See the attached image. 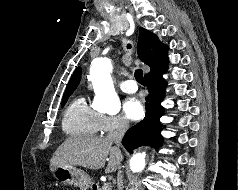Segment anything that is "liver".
<instances>
[{
	"label": "liver",
	"instance_id": "1",
	"mask_svg": "<svg viewBox=\"0 0 238 190\" xmlns=\"http://www.w3.org/2000/svg\"><path fill=\"white\" fill-rule=\"evenodd\" d=\"M108 138L69 137L55 151L50 161V171L61 166H81L91 170L104 167L106 173L116 171L122 161V153Z\"/></svg>",
	"mask_w": 238,
	"mask_h": 190
}]
</instances>
